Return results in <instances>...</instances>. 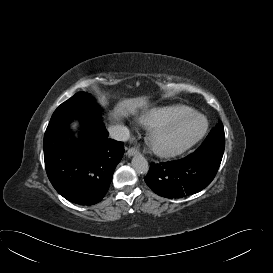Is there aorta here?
<instances>
[{
    "label": "aorta",
    "instance_id": "aorta-1",
    "mask_svg": "<svg viewBox=\"0 0 273 273\" xmlns=\"http://www.w3.org/2000/svg\"><path fill=\"white\" fill-rule=\"evenodd\" d=\"M132 167L139 174H146L149 170V164L144 156L136 154L132 159Z\"/></svg>",
    "mask_w": 273,
    "mask_h": 273
}]
</instances>
